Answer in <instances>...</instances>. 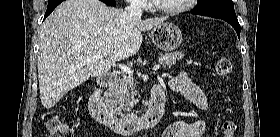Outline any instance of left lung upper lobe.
I'll list each match as a JSON object with an SVG mask.
<instances>
[{
    "mask_svg": "<svg viewBox=\"0 0 280 137\" xmlns=\"http://www.w3.org/2000/svg\"><path fill=\"white\" fill-rule=\"evenodd\" d=\"M192 11L236 16L232 0H199Z\"/></svg>",
    "mask_w": 280,
    "mask_h": 137,
    "instance_id": "obj_1",
    "label": "left lung upper lobe"
}]
</instances>
